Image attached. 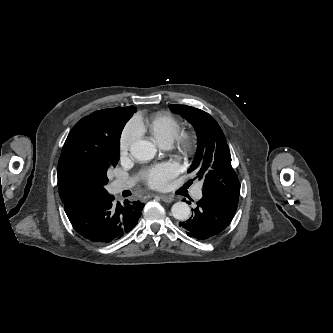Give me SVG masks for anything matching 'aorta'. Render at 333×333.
Returning <instances> with one entry per match:
<instances>
[{
	"instance_id": "762f6f07",
	"label": "aorta",
	"mask_w": 333,
	"mask_h": 333,
	"mask_svg": "<svg viewBox=\"0 0 333 333\" xmlns=\"http://www.w3.org/2000/svg\"><path fill=\"white\" fill-rule=\"evenodd\" d=\"M130 152L137 160L148 161L155 157L156 147L150 141L139 140L131 145ZM171 212L173 217L178 220H187L190 216L188 204L182 201L173 204Z\"/></svg>"
}]
</instances>
